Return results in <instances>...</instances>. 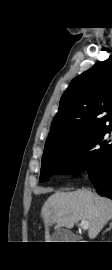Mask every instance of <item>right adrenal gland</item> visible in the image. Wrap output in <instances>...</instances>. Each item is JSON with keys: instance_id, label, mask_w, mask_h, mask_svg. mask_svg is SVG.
Instances as JSON below:
<instances>
[{"instance_id": "obj_1", "label": "right adrenal gland", "mask_w": 112, "mask_h": 270, "mask_svg": "<svg viewBox=\"0 0 112 270\" xmlns=\"http://www.w3.org/2000/svg\"><path fill=\"white\" fill-rule=\"evenodd\" d=\"M110 229H112V222L110 223L109 228H107V229L104 231V233H106V232L109 231Z\"/></svg>"}]
</instances>
